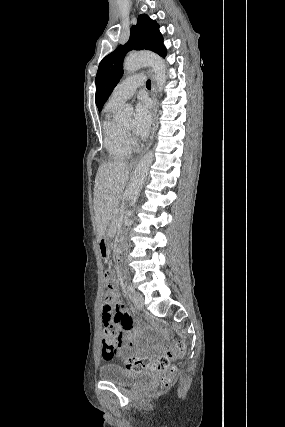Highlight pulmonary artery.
<instances>
[{"mask_svg": "<svg viewBox=\"0 0 285 427\" xmlns=\"http://www.w3.org/2000/svg\"><path fill=\"white\" fill-rule=\"evenodd\" d=\"M144 85L143 75H131L125 78L111 93L109 103L121 105L130 99L138 86Z\"/></svg>", "mask_w": 285, "mask_h": 427, "instance_id": "obj_1", "label": "pulmonary artery"}]
</instances>
